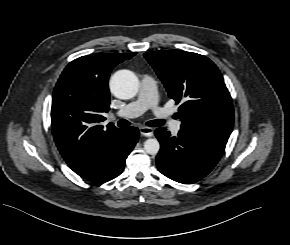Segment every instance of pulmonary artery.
I'll use <instances>...</instances> for the list:
<instances>
[{"label": "pulmonary artery", "mask_w": 290, "mask_h": 245, "mask_svg": "<svg viewBox=\"0 0 290 245\" xmlns=\"http://www.w3.org/2000/svg\"><path fill=\"white\" fill-rule=\"evenodd\" d=\"M148 109H151L160 120L169 122L171 130L174 133L179 132L181 128L180 122L173 121L171 118V112L159 106L157 97V83L150 75H144L141 77L136 99L116 111L114 116L123 118L137 117Z\"/></svg>", "instance_id": "pulmonary-artery-1"}]
</instances>
